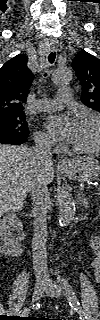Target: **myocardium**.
<instances>
[{"label": "myocardium", "mask_w": 100, "mask_h": 320, "mask_svg": "<svg viewBox=\"0 0 100 320\" xmlns=\"http://www.w3.org/2000/svg\"><path fill=\"white\" fill-rule=\"evenodd\" d=\"M81 122H93L97 126L96 144L91 148H79L71 146V150L79 154H94L100 151V118L96 115H85L81 118Z\"/></svg>", "instance_id": "myocardium-1"}]
</instances>
